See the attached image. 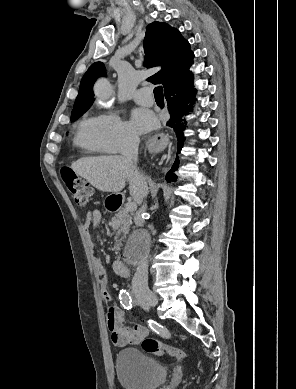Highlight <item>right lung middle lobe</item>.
<instances>
[{
  "instance_id": "dd1d6c3e",
  "label": "right lung middle lobe",
  "mask_w": 296,
  "mask_h": 389,
  "mask_svg": "<svg viewBox=\"0 0 296 389\" xmlns=\"http://www.w3.org/2000/svg\"><path fill=\"white\" fill-rule=\"evenodd\" d=\"M89 107L80 108L71 113V120L74 121L80 117Z\"/></svg>"
}]
</instances>
